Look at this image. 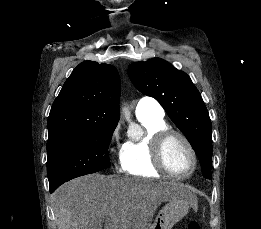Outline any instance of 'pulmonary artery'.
<instances>
[{
    "label": "pulmonary artery",
    "mask_w": 261,
    "mask_h": 229,
    "mask_svg": "<svg viewBox=\"0 0 261 229\" xmlns=\"http://www.w3.org/2000/svg\"><path fill=\"white\" fill-rule=\"evenodd\" d=\"M136 115L141 117H164V109L159 102L151 97L144 96L138 100L136 106Z\"/></svg>",
    "instance_id": "1"
}]
</instances>
